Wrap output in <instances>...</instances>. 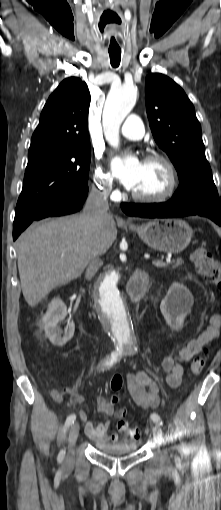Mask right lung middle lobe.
<instances>
[{
    "instance_id": "dd1d6c3e",
    "label": "right lung middle lobe",
    "mask_w": 221,
    "mask_h": 510,
    "mask_svg": "<svg viewBox=\"0 0 221 510\" xmlns=\"http://www.w3.org/2000/svg\"><path fill=\"white\" fill-rule=\"evenodd\" d=\"M90 144L28 156L17 216L27 218L88 186Z\"/></svg>"
}]
</instances>
